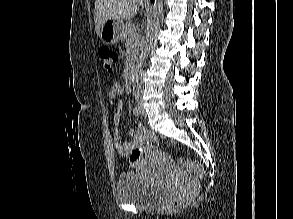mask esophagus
Returning <instances> with one entry per match:
<instances>
[{"label":"esophagus","instance_id":"34e87169","mask_svg":"<svg viewBox=\"0 0 293 219\" xmlns=\"http://www.w3.org/2000/svg\"><path fill=\"white\" fill-rule=\"evenodd\" d=\"M144 4H149V0H141Z\"/></svg>","mask_w":293,"mask_h":219}]
</instances>
